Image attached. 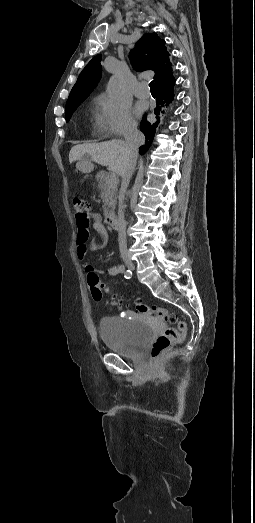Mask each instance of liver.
<instances>
[{
    "label": "liver",
    "instance_id": "obj_1",
    "mask_svg": "<svg viewBox=\"0 0 255 523\" xmlns=\"http://www.w3.org/2000/svg\"><path fill=\"white\" fill-rule=\"evenodd\" d=\"M124 148L125 144L121 142V140L100 142V144H78V146L71 148L69 162L72 164V162H76V160H82L84 156H89L92 162H96V164H100V166H108L110 172H114V174L120 176L124 168V158L122 156ZM82 164H77L79 170ZM84 164H86V162H84Z\"/></svg>",
    "mask_w": 255,
    "mask_h": 523
}]
</instances>
